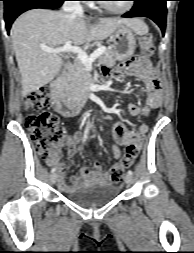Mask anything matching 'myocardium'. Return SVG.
<instances>
[{"label":"myocardium","instance_id":"obj_1","mask_svg":"<svg viewBox=\"0 0 194 253\" xmlns=\"http://www.w3.org/2000/svg\"><path fill=\"white\" fill-rule=\"evenodd\" d=\"M101 7L109 13L115 15H124L133 8V1L132 0L127 1V4L123 8H113L107 5L106 3H102Z\"/></svg>","mask_w":194,"mask_h":253}]
</instances>
